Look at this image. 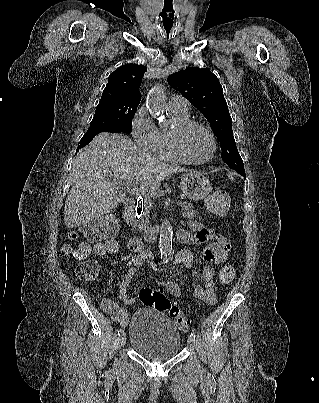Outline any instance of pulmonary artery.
Here are the masks:
<instances>
[{
	"label": "pulmonary artery",
	"mask_w": 319,
	"mask_h": 403,
	"mask_svg": "<svg viewBox=\"0 0 319 403\" xmlns=\"http://www.w3.org/2000/svg\"><path fill=\"white\" fill-rule=\"evenodd\" d=\"M168 108L188 112L190 105L186 98L179 95H173L169 99Z\"/></svg>",
	"instance_id": "e3ab8cb5"
}]
</instances>
